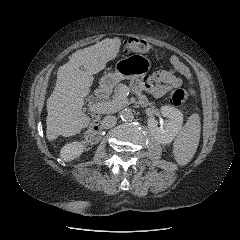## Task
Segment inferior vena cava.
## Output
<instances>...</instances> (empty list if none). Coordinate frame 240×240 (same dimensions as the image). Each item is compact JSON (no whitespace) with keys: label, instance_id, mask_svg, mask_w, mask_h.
<instances>
[{"label":"inferior vena cava","instance_id":"inferior-vena-cava-1","mask_svg":"<svg viewBox=\"0 0 240 240\" xmlns=\"http://www.w3.org/2000/svg\"><path fill=\"white\" fill-rule=\"evenodd\" d=\"M116 123H117V118L115 116L107 115L103 118L101 125L103 128L109 129L114 127Z\"/></svg>","mask_w":240,"mask_h":240}]
</instances>
